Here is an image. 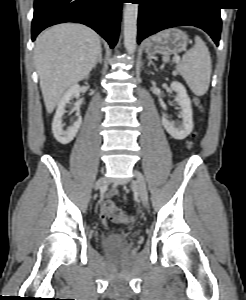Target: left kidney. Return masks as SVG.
I'll use <instances>...</instances> for the list:
<instances>
[{
    "mask_svg": "<svg viewBox=\"0 0 246 300\" xmlns=\"http://www.w3.org/2000/svg\"><path fill=\"white\" fill-rule=\"evenodd\" d=\"M171 89L177 93V102L181 107L182 123L177 127L173 121H169L166 115L162 116V124L166 131L176 140L185 139L193 130V111L191 100L184 85L178 81L171 83Z\"/></svg>",
    "mask_w": 246,
    "mask_h": 300,
    "instance_id": "1",
    "label": "left kidney"
}]
</instances>
